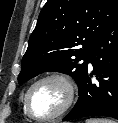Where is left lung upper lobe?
Returning a JSON list of instances; mask_svg holds the SVG:
<instances>
[{
  "instance_id": "obj_1",
  "label": "left lung upper lobe",
  "mask_w": 118,
  "mask_h": 123,
  "mask_svg": "<svg viewBox=\"0 0 118 123\" xmlns=\"http://www.w3.org/2000/svg\"><path fill=\"white\" fill-rule=\"evenodd\" d=\"M117 18L118 0H48L29 38L18 82L57 71L80 87L94 44Z\"/></svg>"
}]
</instances>
